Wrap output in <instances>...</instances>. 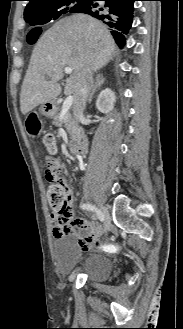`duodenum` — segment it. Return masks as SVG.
<instances>
[{
    "label": "duodenum",
    "mask_w": 183,
    "mask_h": 329,
    "mask_svg": "<svg viewBox=\"0 0 183 329\" xmlns=\"http://www.w3.org/2000/svg\"><path fill=\"white\" fill-rule=\"evenodd\" d=\"M88 148V139L85 136H81L77 141H75L71 148L70 153L73 156H82L86 154Z\"/></svg>",
    "instance_id": "duodenum-1"
}]
</instances>
